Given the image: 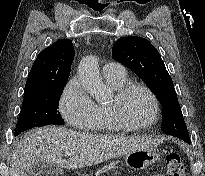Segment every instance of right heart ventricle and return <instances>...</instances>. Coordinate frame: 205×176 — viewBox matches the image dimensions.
<instances>
[{
    "label": "right heart ventricle",
    "mask_w": 205,
    "mask_h": 176,
    "mask_svg": "<svg viewBox=\"0 0 205 176\" xmlns=\"http://www.w3.org/2000/svg\"><path fill=\"white\" fill-rule=\"evenodd\" d=\"M108 84L115 90L127 84V77L123 78H106ZM97 114L92 124V130L100 135L113 134L119 130L110 111V104L98 103L96 104Z\"/></svg>",
    "instance_id": "right-heart-ventricle-1"
}]
</instances>
